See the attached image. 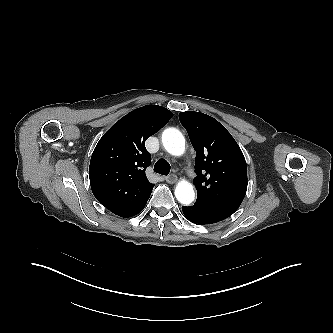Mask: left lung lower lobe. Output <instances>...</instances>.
Instances as JSON below:
<instances>
[{
    "label": "left lung lower lobe",
    "mask_w": 333,
    "mask_h": 333,
    "mask_svg": "<svg viewBox=\"0 0 333 333\" xmlns=\"http://www.w3.org/2000/svg\"><path fill=\"white\" fill-rule=\"evenodd\" d=\"M186 218L197 224H213L226 219L230 215L206 203L196 201L193 206H182Z\"/></svg>",
    "instance_id": "obj_1"
}]
</instances>
